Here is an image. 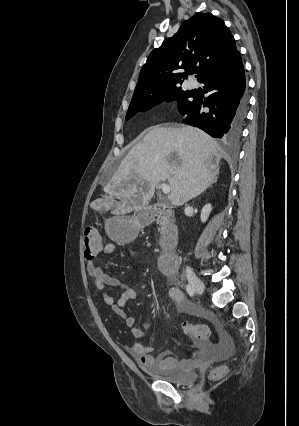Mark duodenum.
Listing matches in <instances>:
<instances>
[{
	"instance_id": "duodenum-1",
	"label": "duodenum",
	"mask_w": 299,
	"mask_h": 426,
	"mask_svg": "<svg viewBox=\"0 0 299 426\" xmlns=\"http://www.w3.org/2000/svg\"><path fill=\"white\" fill-rule=\"evenodd\" d=\"M165 211L163 205L149 207L137 215L139 224H148L154 221ZM177 235L168 234L162 242V253L158 259V267L165 275H174L177 271L178 260L176 255Z\"/></svg>"
}]
</instances>
